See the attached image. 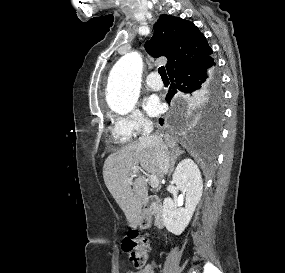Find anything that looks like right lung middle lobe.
I'll return each mask as SVG.
<instances>
[{
    "label": "right lung middle lobe",
    "mask_w": 285,
    "mask_h": 273,
    "mask_svg": "<svg viewBox=\"0 0 285 273\" xmlns=\"http://www.w3.org/2000/svg\"><path fill=\"white\" fill-rule=\"evenodd\" d=\"M218 89H219V75L216 73L215 77L200 91L195 92L193 94H190L187 96V98L191 101H198L201 97L208 96L209 94H212L218 98ZM216 107L213 112V116L215 118H220L221 117V108L219 107L218 99L216 100Z\"/></svg>",
    "instance_id": "obj_1"
}]
</instances>
